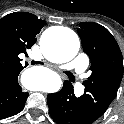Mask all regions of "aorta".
Segmentation results:
<instances>
[{
    "instance_id": "aorta-1",
    "label": "aorta",
    "mask_w": 124,
    "mask_h": 124,
    "mask_svg": "<svg viewBox=\"0 0 124 124\" xmlns=\"http://www.w3.org/2000/svg\"><path fill=\"white\" fill-rule=\"evenodd\" d=\"M44 55L59 63L72 60L78 53L80 42L76 33L68 28H61L56 37L44 34L40 41ZM25 86L30 90H39L41 85L36 81L33 74L24 81Z\"/></svg>"
}]
</instances>
